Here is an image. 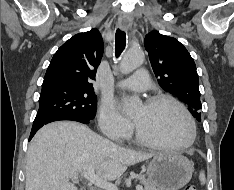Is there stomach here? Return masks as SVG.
<instances>
[{"label":"stomach","mask_w":234,"mask_h":190,"mask_svg":"<svg viewBox=\"0 0 234 190\" xmlns=\"http://www.w3.org/2000/svg\"><path fill=\"white\" fill-rule=\"evenodd\" d=\"M192 163L178 153H159L147 167L150 183L159 190H179L191 179Z\"/></svg>","instance_id":"0dacf381"}]
</instances>
